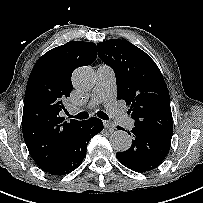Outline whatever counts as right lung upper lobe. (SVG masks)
Instances as JSON below:
<instances>
[{
    "label": "right lung upper lobe",
    "instance_id": "obj_1",
    "mask_svg": "<svg viewBox=\"0 0 203 203\" xmlns=\"http://www.w3.org/2000/svg\"><path fill=\"white\" fill-rule=\"evenodd\" d=\"M97 57L95 43L70 41L46 52L35 63L28 79L22 118L23 138L36 164L46 170L62 153L74 127L81 122L64 121L60 112L70 97L71 75Z\"/></svg>",
    "mask_w": 203,
    "mask_h": 203
}]
</instances>
